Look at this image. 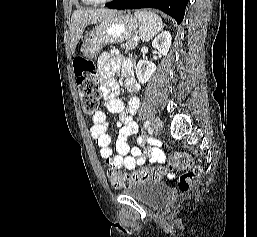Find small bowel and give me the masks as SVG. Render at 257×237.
<instances>
[{"instance_id":"1","label":"small bowel","mask_w":257,"mask_h":237,"mask_svg":"<svg viewBox=\"0 0 257 237\" xmlns=\"http://www.w3.org/2000/svg\"><path fill=\"white\" fill-rule=\"evenodd\" d=\"M113 69L118 70L126 78V87L129 92L136 93L139 90L138 83L133 79L134 71L131 61L123 59L116 50L107 51L99 57L98 70L103 81V106L110 113L119 115L117 126L120 128L115 143L116 153H114L111 138L107 133L108 122L105 113L98 111L93 115L90 135L99 146L101 157L110 166L127 170L135 169L138 165L143 164L146 155L149 156L151 163L164 164L165 156L159 148L130 147V139L139 131L137 122L133 120L139 107V98L137 96L131 97L127 109L125 108L124 102L116 97L119 85L112 78ZM146 142L147 140L144 138L139 139V144ZM150 142L156 144L154 141Z\"/></svg>"}]
</instances>
